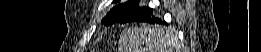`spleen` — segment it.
Here are the masks:
<instances>
[{"instance_id":"1","label":"spleen","mask_w":261,"mask_h":52,"mask_svg":"<svg viewBox=\"0 0 261 52\" xmlns=\"http://www.w3.org/2000/svg\"><path fill=\"white\" fill-rule=\"evenodd\" d=\"M125 34L132 36L131 42L136 52H168L170 43L160 28L132 27Z\"/></svg>"}]
</instances>
